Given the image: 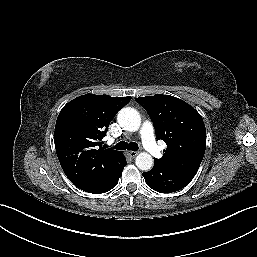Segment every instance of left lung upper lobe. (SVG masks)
Returning <instances> with one entry per match:
<instances>
[{
	"label": "left lung upper lobe",
	"instance_id": "obj_1",
	"mask_svg": "<svg viewBox=\"0 0 257 257\" xmlns=\"http://www.w3.org/2000/svg\"><path fill=\"white\" fill-rule=\"evenodd\" d=\"M150 115L156 137L167 144L155 162L196 173L206 148V129L201 115L185 101L157 94L136 98Z\"/></svg>",
	"mask_w": 257,
	"mask_h": 257
}]
</instances>
